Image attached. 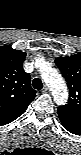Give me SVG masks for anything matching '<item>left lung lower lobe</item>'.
I'll return each instance as SVG.
<instances>
[{"mask_svg": "<svg viewBox=\"0 0 81 155\" xmlns=\"http://www.w3.org/2000/svg\"><path fill=\"white\" fill-rule=\"evenodd\" d=\"M58 115L62 125L71 133L79 134L81 131V119L72 117L58 109Z\"/></svg>", "mask_w": 81, "mask_h": 155, "instance_id": "obj_1", "label": "left lung lower lobe"}]
</instances>
